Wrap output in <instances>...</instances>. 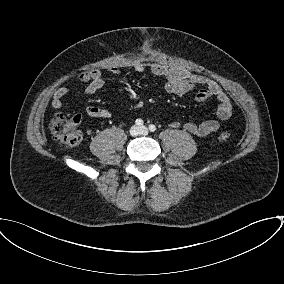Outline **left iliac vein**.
Masks as SVG:
<instances>
[{
    "mask_svg": "<svg viewBox=\"0 0 284 284\" xmlns=\"http://www.w3.org/2000/svg\"><path fill=\"white\" fill-rule=\"evenodd\" d=\"M139 129H140V133L142 135H147L148 134V129L145 126H141Z\"/></svg>",
    "mask_w": 284,
    "mask_h": 284,
    "instance_id": "4c4485c4",
    "label": "left iliac vein"
}]
</instances>
